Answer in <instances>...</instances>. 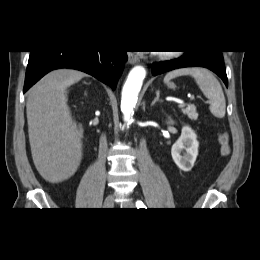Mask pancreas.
<instances>
[{"label": "pancreas", "mask_w": 260, "mask_h": 260, "mask_svg": "<svg viewBox=\"0 0 260 260\" xmlns=\"http://www.w3.org/2000/svg\"><path fill=\"white\" fill-rule=\"evenodd\" d=\"M181 111L184 115H187L191 120H197L198 113L194 105H188L187 107L182 106Z\"/></svg>", "instance_id": "pancreas-1"}]
</instances>
